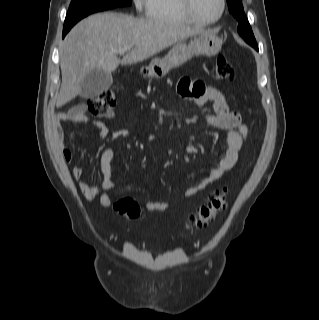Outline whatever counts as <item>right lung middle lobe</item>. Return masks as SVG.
I'll return each mask as SVG.
<instances>
[{"label":"right lung middle lobe","mask_w":319,"mask_h":320,"mask_svg":"<svg viewBox=\"0 0 319 320\" xmlns=\"http://www.w3.org/2000/svg\"><path fill=\"white\" fill-rule=\"evenodd\" d=\"M131 2L132 0H72L63 29L71 28L89 14L116 7L129 6Z\"/></svg>","instance_id":"right-lung-middle-lobe-1"}]
</instances>
